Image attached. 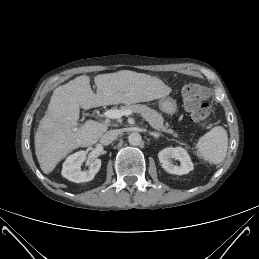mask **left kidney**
I'll return each instance as SVG.
<instances>
[{
  "instance_id": "1",
  "label": "left kidney",
  "mask_w": 259,
  "mask_h": 259,
  "mask_svg": "<svg viewBox=\"0 0 259 259\" xmlns=\"http://www.w3.org/2000/svg\"><path fill=\"white\" fill-rule=\"evenodd\" d=\"M161 166L170 174L184 175L193 170V163L187 151L182 147H168L158 154ZM171 159L180 161V166L174 165Z\"/></svg>"
}]
</instances>
